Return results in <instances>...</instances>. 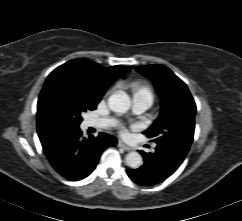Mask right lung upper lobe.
Listing matches in <instances>:
<instances>
[{
	"mask_svg": "<svg viewBox=\"0 0 242 221\" xmlns=\"http://www.w3.org/2000/svg\"><path fill=\"white\" fill-rule=\"evenodd\" d=\"M130 71L125 66L103 67L87 59H74L57 67L47 77L38 100L37 131L40 138L55 131L48 110L49 96L57 89L72 91L88 100H101L107 88Z\"/></svg>",
	"mask_w": 242,
	"mask_h": 221,
	"instance_id": "1",
	"label": "right lung upper lobe"
}]
</instances>
